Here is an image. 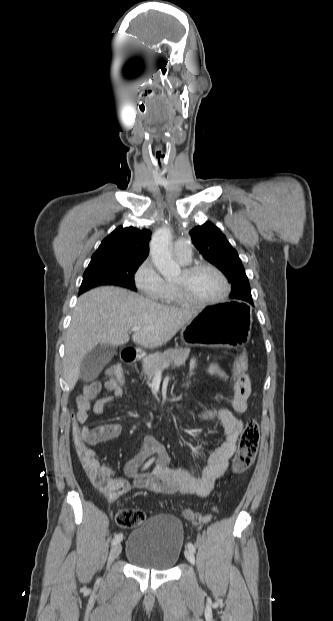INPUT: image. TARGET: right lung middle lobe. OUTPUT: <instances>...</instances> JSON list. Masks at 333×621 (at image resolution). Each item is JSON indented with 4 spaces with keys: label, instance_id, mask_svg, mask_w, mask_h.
<instances>
[{
    "label": "right lung middle lobe",
    "instance_id": "1",
    "mask_svg": "<svg viewBox=\"0 0 333 621\" xmlns=\"http://www.w3.org/2000/svg\"><path fill=\"white\" fill-rule=\"evenodd\" d=\"M143 261L106 260L90 262L79 294L99 285H117L136 291L133 276Z\"/></svg>",
    "mask_w": 333,
    "mask_h": 621
}]
</instances>
